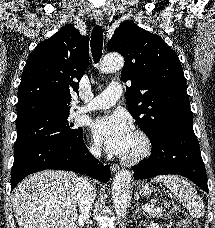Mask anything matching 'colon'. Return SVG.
<instances>
[{"instance_id":"1","label":"colon","mask_w":215,"mask_h":228,"mask_svg":"<svg viewBox=\"0 0 215 228\" xmlns=\"http://www.w3.org/2000/svg\"><path fill=\"white\" fill-rule=\"evenodd\" d=\"M163 212L170 223L178 228H198L197 223L177 204L167 201L163 204Z\"/></svg>"}]
</instances>
